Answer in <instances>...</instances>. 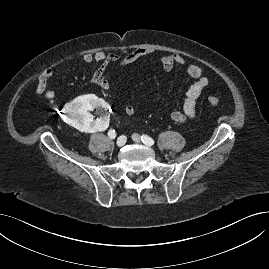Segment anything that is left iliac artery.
<instances>
[{
  "label": "left iliac artery",
  "mask_w": 269,
  "mask_h": 269,
  "mask_svg": "<svg viewBox=\"0 0 269 269\" xmlns=\"http://www.w3.org/2000/svg\"><path fill=\"white\" fill-rule=\"evenodd\" d=\"M141 140L144 144L148 146H152L154 144V140L147 135L142 136Z\"/></svg>",
  "instance_id": "1"
}]
</instances>
